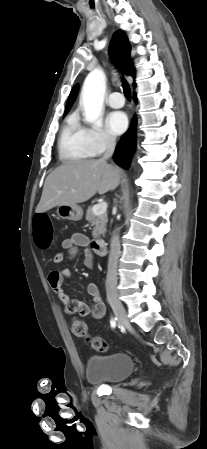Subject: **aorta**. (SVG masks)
<instances>
[{"label":"aorta","instance_id":"aorta-1","mask_svg":"<svg viewBox=\"0 0 207 449\" xmlns=\"http://www.w3.org/2000/svg\"><path fill=\"white\" fill-rule=\"evenodd\" d=\"M105 86V75L100 69L93 70L86 77L81 92L86 122L94 125L99 124V117L103 108Z\"/></svg>","mask_w":207,"mask_h":449}]
</instances>
